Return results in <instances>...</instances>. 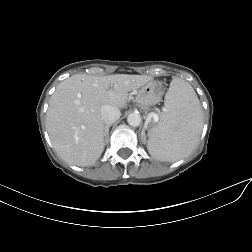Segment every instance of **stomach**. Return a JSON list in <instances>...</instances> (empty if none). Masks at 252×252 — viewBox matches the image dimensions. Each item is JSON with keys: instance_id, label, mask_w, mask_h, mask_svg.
Returning <instances> with one entry per match:
<instances>
[{"instance_id": "stomach-1", "label": "stomach", "mask_w": 252, "mask_h": 252, "mask_svg": "<svg viewBox=\"0 0 252 252\" xmlns=\"http://www.w3.org/2000/svg\"><path fill=\"white\" fill-rule=\"evenodd\" d=\"M162 95V85L159 82L150 81L137 91L136 99L142 109L147 112L161 100Z\"/></svg>"}]
</instances>
